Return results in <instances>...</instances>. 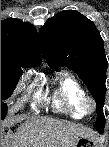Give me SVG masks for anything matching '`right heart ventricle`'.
Instances as JSON below:
<instances>
[{
	"label": "right heart ventricle",
	"mask_w": 109,
	"mask_h": 147,
	"mask_svg": "<svg viewBox=\"0 0 109 147\" xmlns=\"http://www.w3.org/2000/svg\"><path fill=\"white\" fill-rule=\"evenodd\" d=\"M85 96L81 84L69 73L62 72L53 91L45 94L43 102L74 119H82L88 114L83 106Z\"/></svg>",
	"instance_id": "e07e8e85"
}]
</instances>
